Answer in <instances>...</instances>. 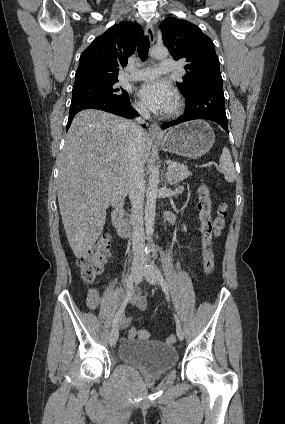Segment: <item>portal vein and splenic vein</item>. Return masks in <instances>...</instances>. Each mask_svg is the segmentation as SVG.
<instances>
[{
  "label": "portal vein and splenic vein",
  "instance_id": "18ae733b",
  "mask_svg": "<svg viewBox=\"0 0 285 424\" xmlns=\"http://www.w3.org/2000/svg\"><path fill=\"white\" fill-rule=\"evenodd\" d=\"M175 165H176V163L175 162H172V163H170L169 165H168V171H170L173 167H175ZM105 176V174H101V177H104Z\"/></svg>",
  "mask_w": 285,
  "mask_h": 424
}]
</instances>
